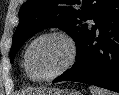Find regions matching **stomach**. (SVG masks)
<instances>
[{
  "mask_svg": "<svg viewBox=\"0 0 119 95\" xmlns=\"http://www.w3.org/2000/svg\"><path fill=\"white\" fill-rule=\"evenodd\" d=\"M29 95H81V93L74 90H60L55 88H48L37 93Z\"/></svg>",
  "mask_w": 119,
  "mask_h": 95,
  "instance_id": "stomach-1",
  "label": "stomach"
}]
</instances>
